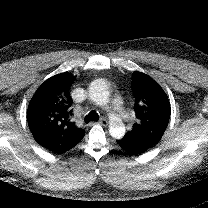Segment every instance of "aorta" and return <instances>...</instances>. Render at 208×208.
<instances>
[{
	"mask_svg": "<svg viewBox=\"0 0 208 208\" xmlns=\"http://www.w3.org/2000/svg\"><path fill=\"white\" fill-rule=\"evenodd\" d=\"M90 98L98 105L105 106L109 103L110 92L107 83L102 79L94 80L89 87ZM109 132L116 139H121L125 135V127L119 118L110 117Z\"/></svg>",
	"mask_w": 208,
	"mask_h": 208,
	"instance_id": "aorta-1",
	"label": "aorta"
}]
</instances>
